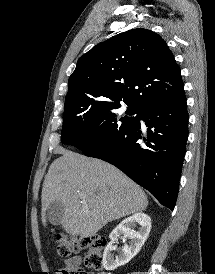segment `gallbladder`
I'll list each match as a JSON object with an SVG mask.
<instances>
[{
    "mask_svg": "<svg viewBox=\"0 0 215 274\" xmlns=\"http://www.w3.org/2000/svg\"><path fill=\"white\" fill-rule=\"evenodd\" d=\"M64 212V208L59 201H54L47 209V218L49 222L53 225H59L62 215Z\"/></svg>",
    "mask_w": 215,
    "mask_h": 274,
    "instance_id": "1",
    "label": "gallbladder"
}]
</instances>
